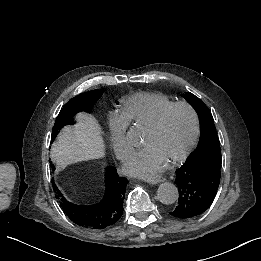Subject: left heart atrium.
<instances>
[{
    "instance_id": "left-heart-atrium-1",
    "label": "left heart atrium",
    "mask_w": 261,
    "mask_h": 261,
    "mask_svg": "<svg viewBox=\"0 0 261 261\" xmlns=\"http://www.w3.org/2000/svg\"><path fill=\"white\" fill-rule=\"evenodd\" d=\"M123 168L133 176L150 178L163 171L164 158L153 145L140 143L130 150Z\"/></svg>"
}]
</instances>
